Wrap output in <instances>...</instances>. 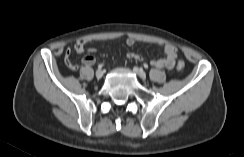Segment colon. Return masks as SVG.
Segmentation results:
<instances>
[{"mask_svg": "<svg viewBox=\"0 0 244 157\" xmlns=\"http://www.w3.org/2000/svg\"><path fill=\"white\" fill-rule=\"evenodd\" d=\"M185 67V63L183 61H179L177 64H176V68L177 70H182L184 69Z\"/></svg>", "mask_w": 244, "mask_h": 157, "instance_id": "1", "label": "colon"}]
</instances>
